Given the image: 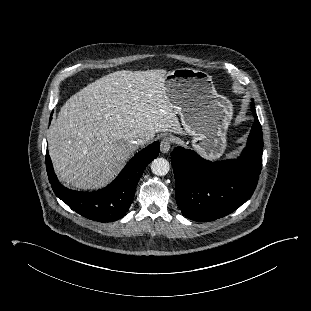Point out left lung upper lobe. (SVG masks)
<instances>
[{"label": "left lung upper lobe", "instance_id": "5c2ea615", "mask_svg": "<svg viewBox=\"0 0 311 311\" xmlns=\"http://www.w3.org/2000/svg\"><path fill=\"white\" fill-rule=\"evenodd\" d=\"M251 110H252V111H255L254 102H253V101H252V104H251Z\"/></svg>", "mask_w": 311, "mask_h": 311}]
</instances>
